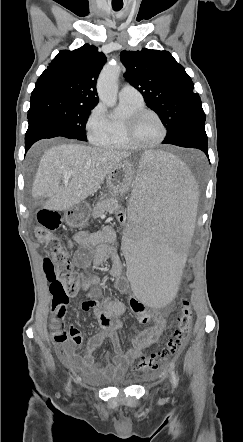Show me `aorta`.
Returning <instances> with one entry per match:
<instances>
[{
  "label": "aorta",
  "mask_w": 243,
  "mask_h": 442,
  "mask_svg": "<svg viewBox=\"0 0 243 442\" xmlns=\"http://www.w3.org/2000/svg\"><path fill=\"white\" fill-rule=\"evenodd\" d=\"M121 67L111 63L105 67L97 81V92L100 100L108 106H114L117 98V80Z\"/></svg>",
  "instance_id": "762f6f07"
}]
</instances>
